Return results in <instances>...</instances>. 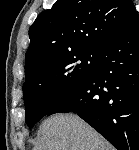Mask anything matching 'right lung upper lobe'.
I'll use <instances>...</instances> for the list:
<instances>
[{"instance_id":"1","label":"right lung upper lobe","mask_w":139,"mask_h":150,"mask_svg":"<svg viewBox=\"0 0 139 150\" xmlns=\"http://www.w3.org/2000/svg\"><path fill=\"white\" fill-rule=\"evenodd\" d=\"M134 13L132 0H57L29 29L26 75L62 54L102 50Z\"/></svg>"}]
</instances>
